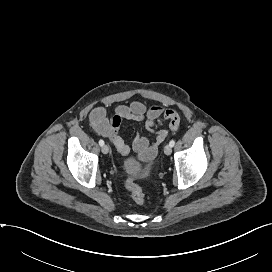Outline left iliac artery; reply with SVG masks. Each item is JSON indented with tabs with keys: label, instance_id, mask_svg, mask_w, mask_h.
<instances>
[{
	"label": "left iliac artery",
	"instance_id": "left-iliac-artery-1",
	"mask_svg": "<svg viewBox=\"0 0 272 272\" xmlns=\"http://www.w3.org/2000/svg\"><path fill=\"white\" fill-rule=\"evenodd\" d=\"M169 145H170L171 147H173V146L175 145V141H174V140H171L170 143H169Z\"/></svg>",
	"mask_w": 272,
	"mask_h": 272
}]
</instances>
